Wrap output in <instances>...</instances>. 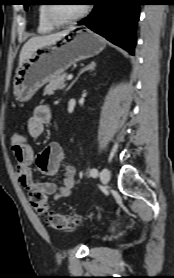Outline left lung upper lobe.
I'll use <instances>...</instances> for the list:
<instances>
[{
	"mask_svg": "<svg viewBox=\"0 0 174 278\" xmlns=\"http://www.w3.org/2000/svg\"><path fill=\"white\" fill-rule=\"evenodd\" d=\"M30 2H31V0H24V6L26 9L31 4Z\"/></svg>",
	"mask_w": 174,
	"mask_h": 278,
	"instance_id": "5c2ea615",
	"label": "left lung upper lobe"
}]
</instances>
